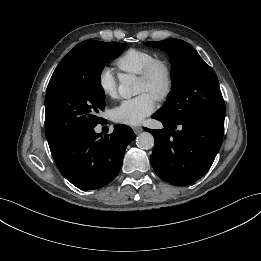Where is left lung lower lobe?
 <instances>
[{
	"mask_svg": "<svg viewBox=\"0 0 261 261\" xmlns=\"http://www.w3.org/2000/svg\"><path fill=\"white\" fill-rule=\"evenodd\" d=\"M164 125L148 130L155 139L151 163L156 174L174 185H188L211 167L223 139L225 113H209L172 121L154 114ZM180 130H176L177 126Z\"/></svg>",
	"mask_w": 261,
	"mask_h": 261,
	"instance_id": "obj_1",
	"label": "left lung lower lobe"
}]
</instances>
